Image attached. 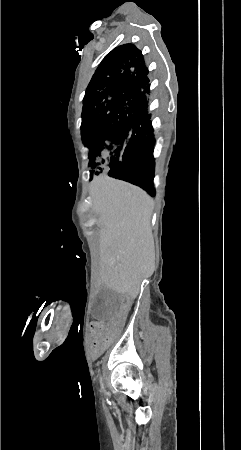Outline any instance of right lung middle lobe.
I'll return each mask as SVG.
<instances>
[{
  "instance_id": "obj_1",
  "label": "right lung middle lobe",
  "mask_w": 241,
  "mask_h": 450,
  "mask_svg": "<svg viewBox=\"0 0 241 450\" xmlns=\"http://www.w3.org/2000/svg\"><path fill=\"white\" fill-rule=\"evenodd\" d=\"M148 114V101L120 97L114 87L89 83L83 100L81 135L90 173L110 170L144 138L133 128Z\"/></svg>"
}]
</instances>
